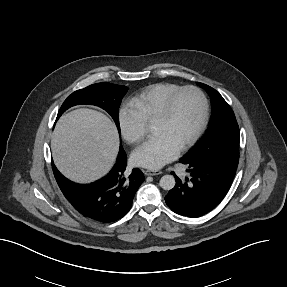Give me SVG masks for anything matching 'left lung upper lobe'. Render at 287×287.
Listing matches in <instances>:
<instances>
[{"label":"left lung upper lobe","mask_w":287,"mask_h":287,"mask_svg":"<svg viewBox=\"0 0 287 287\" xmlns=\"http://www.w3.org/2000/svg\"><path fill=\"white\" fill-rule=\"evenodd\" d=\"M210 96L212 117L204 138L180 161L220 162L238 166L239 127L224 98L212 87L198 83Z\"/></svg>","instance_id":"obj_1"}]
</instances>
